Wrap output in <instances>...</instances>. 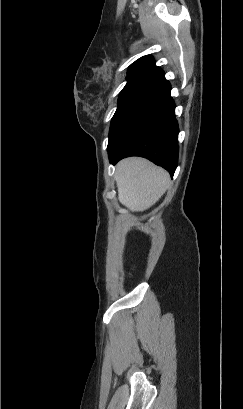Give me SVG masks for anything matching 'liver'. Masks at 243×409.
<instances>
[{
  "instance_id": "obj_1",
  "label": "liver",
  "mask_w": 243,
  "mask_h": 409,
  "mask_svg": "<svg viewBox=\"0 0 243 409\" xmlns=\"http://www.w3.org/2000/svg\"><path fill=\"white\" fill-rule=\"evenodd\" d=\"M118 199L133 212L153 206L165 193L170 177L167 171L140 157H129L116 165Z\"/></svg>"
}]
</instances>
